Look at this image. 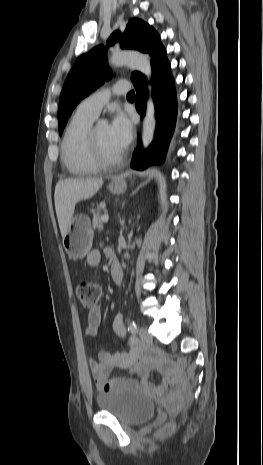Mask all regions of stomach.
I'll return each mask as SVG.
<instances>
[{"label": "stomach", "instance_id": "0dacf381", "mask_svg": "<svg viewBox=\"0 0 263 465\" xmlns=\"http://www.w3.org/2000/svg\"><path fill=\"white\" fill-rule=\"evenodd\" d=\"M127 188L124 175L112 178L109 190L113 194H121ZM93 229L88 216L79 215L71 219L66 234L63 237V247L69 257L83 259L91 250L93 241Z\"/></svg>", "mask_w": 263, "mask_h": 465}]
</instances>
